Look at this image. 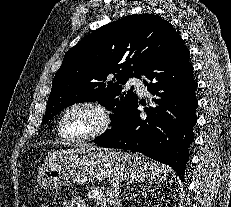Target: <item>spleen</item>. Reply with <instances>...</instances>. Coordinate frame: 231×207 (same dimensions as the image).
<instances>
[{
    "label": "spleen",
    "mask_w": 231,
    "mask_h": 207,
    "mask_svg": "<svg viewBox=\"0 0 231 207\" xmlns=\"http://www.w3.org/2000/svg\"><path fill=\"white\" fill-rule=\"evenodd\" d=\"M170 172V169L164 165L151 163V174L154 179L165 181Z\"/></svg>",
    "instance_id": "spleen-1"
}]
</instances>
